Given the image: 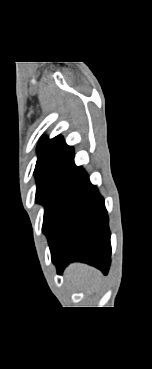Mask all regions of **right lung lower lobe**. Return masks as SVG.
Here are the masks:
<instances>
[{
    "instance_id": "obj_1",
    "label": "right lung lower lobe",
    "mask_w": 152,
    "mask_h": 369,
    "mask_svg": "<svg viewBox=\"0 0 152 369\" xmlns=\"http://www.w3.org/2000/svg\"><path fill=\"white\" fill-rule=\"evenodd\" d=\"M47 237L59 274L74 261L107 274L111 262L108 215L104 199L82 168L62 198Z\"/></svg>"
}]
</instances>
